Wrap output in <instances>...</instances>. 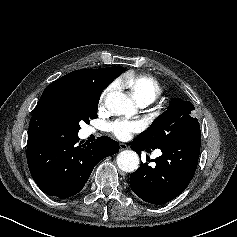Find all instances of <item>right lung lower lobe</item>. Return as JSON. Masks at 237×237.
Masks as SVG:
<instances>
[{"instance_id":"98d812e1","label":"right lung lower lobe","mask_w":237,"mask_h":237,"mask_svg":"<svg viewBox=\"0 0 237 237\" xmlns=\"http://www.w3.org/2000/svg\"><path fill=\"white\" fill-rule=\"evenodd\" d=\"M78 135L50 134L27 143V163L33 180L48 195L68 198L82 190L95 165L119 151L110 137L78 144Z\"/></svg>"}]
</instances>
